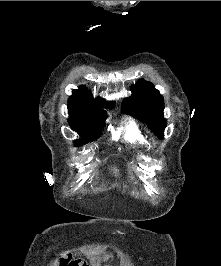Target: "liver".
<instances>
[{
  "instance_id": "liver-1",
  "label": "liver",
  "mask_w": 221,
  "mask_h": 266,
  "mask_svg": "<svg viewBox=\"0 0 221 266\" xmlns=\"http://www.w3.org/2000/svg\"><path fill=\"white\" fill-rule=\"evenodd\" d=\"M117 172H118V170L115 168V169H114V173L117 174Z\"/></svg>"
}]
</instances>
